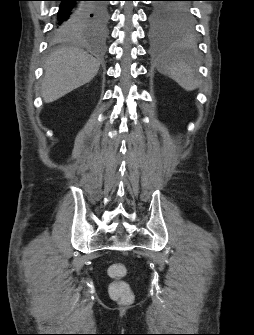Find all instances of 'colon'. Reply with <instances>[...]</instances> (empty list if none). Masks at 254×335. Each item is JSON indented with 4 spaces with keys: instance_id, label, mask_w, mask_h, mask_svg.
<instances>
[{
    "instance_id": "1",
    "label": "colon",
    "mask_w": 254,
    "mask_h": 335,
    "mask_svg": "<svg viewBox=\"0 0 254 335\" xmlns=\"http://www.w3.org/2000/svg\"><path fill=\"white\" fill-rule=\"evenodd\" d=\"M108 275L113 279L108 287L110 296L123 302L132 299V292L127 284L123 281L126 275V268L120 263L112 264L108 267Z\"/></svg>"
}]
</instances>
